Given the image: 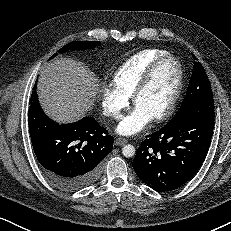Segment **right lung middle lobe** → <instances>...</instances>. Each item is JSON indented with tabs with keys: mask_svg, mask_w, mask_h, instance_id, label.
<instances>
[{
	"mask_svg": "<svg viewBox=\"0 0 231 231\" xmlns=\"http://www.w3.org/2000/svg\"><path fill=\"white\" fill-rule=\"evenodd\" d=\"M99 44H100L99 41H74L62 47L58 52L63 53L69 50L91 49V48L98 46ZM57 55L58 53H55L51 58Z\"/></svg>",
	"mask_w": 231,
	"mask_h": 231,
	"instance_id": "1",
	"label": "right lung middle lobe"
}]
</instances>
